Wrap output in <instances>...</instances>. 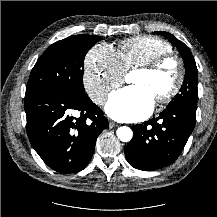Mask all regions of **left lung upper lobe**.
<instances>
[{
    "instance_id": "obj_1",
    "label": "left lung upper lobe",
    "mask_w": 217,
    "mask_h": 217,
    "mask_svg": "<svg viewBox=\"0 0 217 217\" xmlns=\"http://www.w3.org/2000/svg\"><path fill=\"white\" fill-rule=\"evenodd\" d=\"M155 33L166 37L174 46L177 47L178 51L180 52L183 58V62L185 64L186 69L185 80L181 87L180 93L175 96L174 100L169 103L168 107L181 104L197 107L198 71L194 57L190 49L183 42L178 40L175 36H173L170 33L163 31H158Z\"/></svg>"
}]
</instances>
